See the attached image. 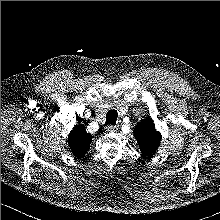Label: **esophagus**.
<instances>
[{"instance_id":"1","label":"esophagus","mask_w":220,"mask_h":220,"mask_svg":"<svg viewBox=\"0 0 220 220\" xmlns=\"http://www.w3.org/2000/svg\"><path fill=\"white\" fill-rule=\"evenodd\" d=\"M105 130L109 133H113V132H116L117 131V127L116 126H113V125H109V126H106L105 127Z\"/></svg>"}]
</instances>
